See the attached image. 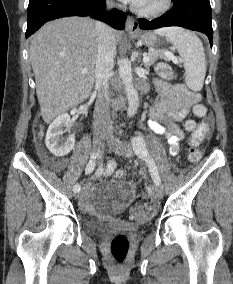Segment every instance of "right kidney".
<instances>
[{
  "label": "right kidney",
  "mask_w": 233,
  "mask_h": 284,
  "mask_svg": "<svg viewBox=\"0 0 233 284\" xmlns=\"http://www.w3.org/2000/svg\"><path fill=\"white\" fill-rule=\"evenodd\" d=\"M70 122L69 114L63 113L50 124L47 130L45 139L46 146L49 151L57 157L67 155L75 145L74 135H70L67 138L62 136Z\"/></svg>",
  "instance_id": "obj_1"
}]
</instances>
